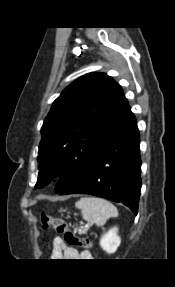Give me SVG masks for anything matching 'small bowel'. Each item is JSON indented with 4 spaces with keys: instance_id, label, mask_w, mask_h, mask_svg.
I'll list each match as a JSON object with an SVG mask.
<instances>
[{
    "instance_id": "obj_1",
    "label": "small bowel",
    "mask_w": 175,
    "mask_h": 287,
    "mask_svg": "<svg viewBox=\"0 0 175 287\" xmlns=\"http://www.w3.org/2000/svg\"><path fill=\"white\" fill-rule=\"evenodd\" d=\"M52 245H53V248H52L53 258H67V259H75V258L90 259L91 258L90 252L88 251L78 252L76 249L65 245L63 240L60 237L54 238Z\"/></svg>"
}]
</instances>
